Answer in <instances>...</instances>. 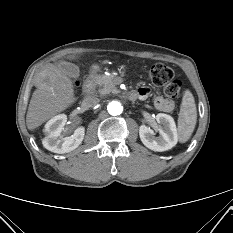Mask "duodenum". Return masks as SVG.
Wrapping results in <instances>:
<instances>
[{"mask_svg": "<svg viewBox=\"0 0 233 233\" xmlns=\"http://www.w3.org/2000/svg\"><path fill=\"white\" fill-rule=\"evenodd\" d=\"M96 74V70L93 69L91 70V72L89 73L87 79L85 80L84 82V85H83V92L86 96H90L91 95V92H92V89H93V78ZM129 98L131 100H135L137 98V93L132 91L128 94Z\"/></svg>", "mask_w": 233, "mask_h": 233, "instance_id": "410a0bca", "label": "duodenum"}]
</instances>
